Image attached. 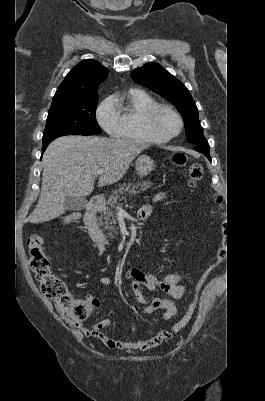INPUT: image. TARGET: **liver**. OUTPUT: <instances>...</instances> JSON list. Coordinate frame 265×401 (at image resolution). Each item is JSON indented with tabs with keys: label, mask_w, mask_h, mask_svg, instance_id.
Wrapping results in <instances>:
<instances>
[{
	"label": "liver",
	"mask_w": 265,
	"mask_h": 401,
	"mask_svg": "<svg viewBox=\"0 0 265 401\" xmlns=\"http://www.w3.org/2000/svg\"><path fill=\"white\" fill-rule=\"evenodd\" d=\"M141 140L102 136H60L43 154L39 201L26 223H45L65 213V196H88L97 170L104 168L98 186L117 182L144 148Z\"/></svg>",
	"instance_id": "liver-1"
}]
</instances>
